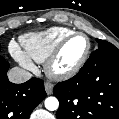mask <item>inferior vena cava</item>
Masks as SVG:
<instances>
[{"label": "inferior vena cava", "mask_w": 119, "mask_h": 119, "mask_svg": "<svg viewBox=\"0 0 119 119\" xmlns=\"http://www.w3.org/2000/svg\"><path fill=\"white\" fill-rule=\"evenodd\" d=\"M32 78V74L19 67L12 68L8 73V79L12 83H24Z\"/></svg>", "instance_id": "inferior-vena-cava-1"}]
</instances>
